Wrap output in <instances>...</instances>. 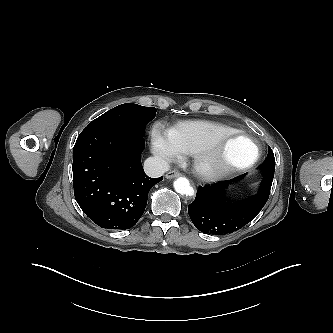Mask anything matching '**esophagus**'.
Returning <instances> with one entry per match:
<instances>
[{"instance_id": "34e87169", "label": "esophagus", "mask_w": 333, "mask_h": 333, "mask_svg": "<svg viewBox=\"0 0 333 333\" xmlns=\"http://www.w3.org/2000/svg\"><path fill=\"white\" fill-rule=\"evenodd\" d=\"M181 176V173L176 170H171L166 174L167 179H172Z\"/></svg>"}]
</instances>
